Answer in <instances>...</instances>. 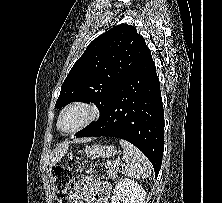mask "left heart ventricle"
Returning a JSON list of instances; mask_svg holds the SVG:
<instances>
[{
    "mask_svg": "<svg viewBox=\"0 0 222 203\" xmlns=\"http://www.w3.org/2000/svg\"><path fill=\"white\" fill-rule=\"evenodd\" d=\"M86 118V112L83 109H71L64 114L60 121L62 130H70L80 124Z\"/></svg>",
    "mask_w": 222,
    "mask_h": 203,
    "instance_id": "b2bd125f",
    "label": "left heart ventricle"
}]
</instances>
